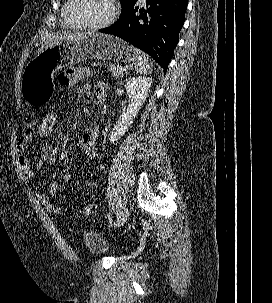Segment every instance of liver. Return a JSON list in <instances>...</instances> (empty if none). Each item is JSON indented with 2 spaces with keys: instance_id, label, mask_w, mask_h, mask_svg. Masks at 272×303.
<instances>
[{
  "instance_id": "liver-1",
  "label": "liver",
  "mask_w": 272,
  "mask_h": 303,
  "mask_svg": "<svg viewBox=\"0 0 272 303\" xmlns=\"http://www.w3.org/2000/svg\"><path fill=\"white\" fill-rule=\"evenodd\" d=\"M91 32H85V33H71V32H67V33H62V34H55L54 36L50 37L47 40V43L45 46H42L41 48L38 49L37 54L41 53L46 47H49L53 44H56L62 40L65 39H69V38H76V37H82L84 35H87Z\"/></svg>"
}]
</instances>
